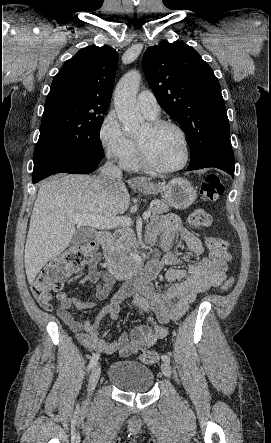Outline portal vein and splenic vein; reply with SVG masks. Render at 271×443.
<instances>
[{
	"label": "portal vein and splenic vein",
	"instance_id": "obj_1",
	"mask_svg": "<svg viewBox=\"0 0 271 443\" xmlns=\"http://www.w3.org/2000/svg\"><path fill=\"white\" fill-rule=\"evenodd\" d=\"M151 212H145L143 214V220L150 218ZM73 222L78 225H92V227H98V229H109V227H116V225H131V218H101V216H89V214H77V216H71Z\"/></svg>",
	"mask_w": 271,
	"mask_h": 443
}]
</instances>
